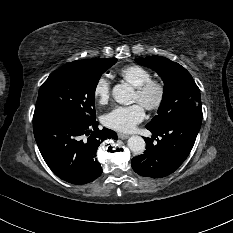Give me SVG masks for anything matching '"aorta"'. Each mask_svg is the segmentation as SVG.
Masks as SVG:
<instances>
[{
    "instance_id": "obj_1",
    "label": "aorta",
    "mask_w": 233,
    "mask_h": 233,
    "mask_svg": "<svg viewBox=\"0 0 233 233\" xmlns=\"http://www.w3.org/2000/svg\"><path fill=\"white\" fill-rule=\"evenodd\" d=\"M112 95L116 102L122 105H130L134 102L133 88L126 84H117L113 87ZM128 147L135 155H141L145 151V141L142 137L133 135L128 139Z\"/></svg>"
}]
</instances>
